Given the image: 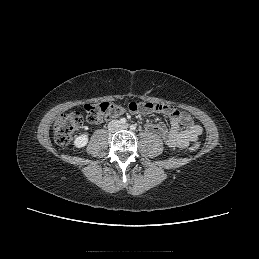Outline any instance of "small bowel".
Returning <instances> with one entry per match:
<instances>
[{"label": "small bowel", "mask_w": 259, "mask_h": 259, "mask_svg": "<svg viewBox=\"0 0 259 259\" xmlns=\"http://www.w3.org/2000/svg\"><path fill=\"white\" fill-rule=\"evenodd\" d=\"M128 108L136 113L159 112L168 116L169 127L159 123L149 124L147 128L158 134L169 147L184 148L190 142L196 141L203 132L202 127L195 123L188 113L172 106L151 104L145 100H139L131 102Z\"/></svg>", "instance_id": "1"}]
</instances>
